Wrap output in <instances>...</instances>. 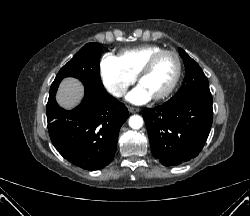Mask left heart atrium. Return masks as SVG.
I'll list each match as a JSON object with an SVG mask.
<instances>
[{
  "label": "left heart atrium",
  "mask_w": 250,
  "mask_h": 216,
  "mask_svg": "<svg viewBox=\"0 0 250 216\" xmlns=\"http://www.w3.org/2000/svg\"><path fill=\"white\" fill-rule=\"evenodd\" d=\"M152 96L149 92L140 84L134 88L128 95L127 100L133 104H144L148 102Z\"/></svg>",
  "instance_id": "1"
}]
</instances>
